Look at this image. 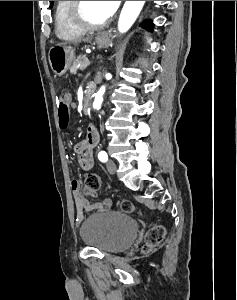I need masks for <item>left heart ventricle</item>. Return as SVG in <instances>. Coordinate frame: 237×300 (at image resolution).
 I'll use <instances>...</instances> for the list:
<instances>
[{
    "mask_svg": "<svg viewBox=\"0 0 237 300\" xmlns=\"http://www.w3.org/2000/svg\"><path fill=\"white\" fill-rule=\"evenodd\" d=\"M84 15L92 23H101L111 17L105 1H84Z\"/></svg>",
    "mask_w": 237,
    "mask_h": 300,
    "instance_id": "left-heart-ventricle-1",
    "label": "left heart ventricle"
}]
</instances>
